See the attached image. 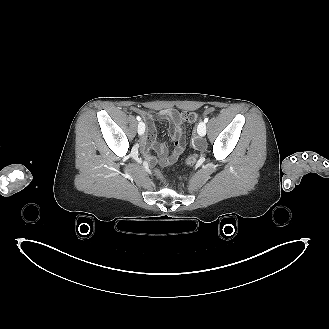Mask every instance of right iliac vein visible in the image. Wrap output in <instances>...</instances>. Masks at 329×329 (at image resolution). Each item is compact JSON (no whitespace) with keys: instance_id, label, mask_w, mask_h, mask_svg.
<instances>
[{"instance_id":"obj_1","label":"right iliac vein","mask_w":329,"mask_h":329,"mask_svg":"<svg viewBox=\"0 0 329 329\" xmlns=\"http://www.w3.org/2000/svg\"><path fill=\"white\" fill-rule=\"evenodd\" d=\"M137 131L139 135H142L145 131V124L142 121L139 122Z\"/></svg>"}]
</instances>
